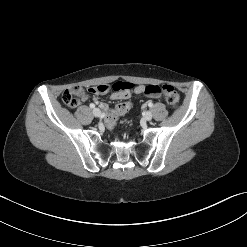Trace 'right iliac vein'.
<instances>
[{
  "mask_svg": "<svg viewBox=\"0 0 247 247\" xmlns=\"http://www.w3.org/2000/svg\"><path fill=\"white\" fill-rule=\"evenodd\" d=\"M93 115L95 117H100V115H101L100 109H98V108L93 109Z\"/></svg>",
  "mask_w": 247,
  "mask_h": 247,
  "instance_id": "63e3f726",
  "label": "right iliac vein"
}]
</instances>
